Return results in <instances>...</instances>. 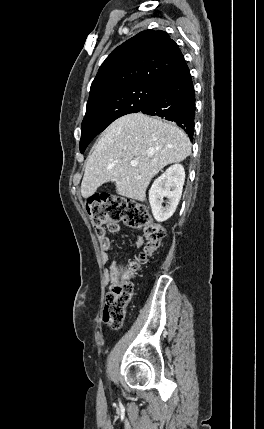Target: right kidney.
<instances>
[{"mask_svg":"<svg viewBox=\"0 0 264 429\" xmlns=\"http://www.w3.org/2000/svg\"><path fill=\"white\" fill-rule=\"evenodd\" d=\"M184 181V167L174 164L153 182L149 190V203L156 221H166L174 214L182 195ZM164 198H167L168 203L165 207Z\"/></svg>","mask_w":264,"mask_h":429,"instance_id":"obj_1","label":"right kidney"}]
</instances>
